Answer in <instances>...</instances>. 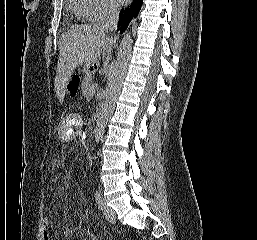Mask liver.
Wrapping results in <instances>:
<instances>
[{"label":"liver","mask_w":257,"mask_h":240,"mask_svg":"<svg viewBox=\"0 0 257 240\" xmlns=\"http://www.w3.org/2000/svg\"><path fill=\"white\" fill-rule=\"evenodd\" d=\"M112 42L100 25H80L64 33L59 40V59L55 76L57 98L63 102L66 85L76 69L85 64L90 67L100 55L111 50Z\"/></svg>","instance_id":"1"}]
</instances>
